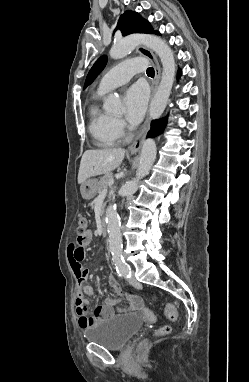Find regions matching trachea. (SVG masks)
Returning <instances> with one entry per match:
<instances>
[{"label":"trachea","mask_w":249,"mask_h":382,"mask_svg":"<svg viewBox=\"0 0 249 382\" xmlns=\"http://www.w3.org/2000/svg\"><path fill=\"white\" fill-rule=\"evenodd\" d=\"M146 73H147V75L154 76L155 71H154L153 67H149V68L146 70Z\"/></svg>","instance_id":"trachea-1"}]
</instances>
